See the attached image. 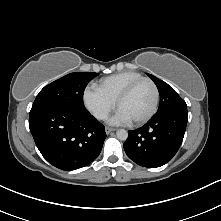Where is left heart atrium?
Instances as JSON below:
<instances>
[{
    "instance_id": "1",
    "label": "left heart atrium",
    "mask_w": 221,
    "mask_h": 221,
    "mask_svg": "<svg viewBox=\"0 0 221 221\" xmlns=\"http://www.w3.org/2000/svg\"><path fill=\"white\" fill-rule=\"evenodd\" d=\"M110 122L114 125H122L130 122V120L121 110H118L111 118Z\"/></svg>"
}]
</instances>
